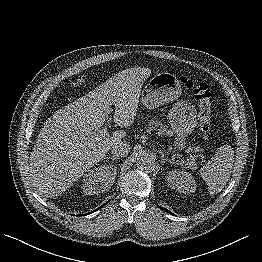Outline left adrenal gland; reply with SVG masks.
<instances>
[{"instance_id": "left-adrenal-gland-1", "label": "left adrenal gland", "mask_w": 262, "mask_h": 262, "mask_svg": "<svg viewBox=\"0 0 262 262\" xmlns=\"http://www.w3.org/2000/svg\"><path fill=\"white\" fill-rule=\"evenodd\" d=\"M160 155H161V160L162 162L164 163L165 161H168L170 163H174V161H171L170 159H168L164 154L163 152L159 151Z\"/></svg>"}]
</instances>
